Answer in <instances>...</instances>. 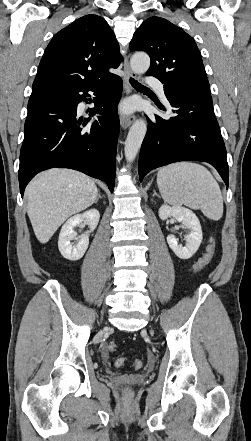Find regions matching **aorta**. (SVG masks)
I'll return each mask as SVG.
<instances>
[{
	"label": "aorta",
	"instance_id": "aorta-1",
	"mask_svg": "<svg viewBox=\"0 0 251 441\" xmlns=\"http://www.w3.org/2000/svg\"><path fill=\"white\" fill-rule=\"evenodd\" d=\"M130 65L134 73H145L149 69L150 58L145 53H136L132 56ZM146 131L147 125L142 119L136 120L131 126L124 147L125 157L129 163L136 158Z\"/></svg>",
	"mask_w": 251,
	"mask_h": 441
}]
</instances>
